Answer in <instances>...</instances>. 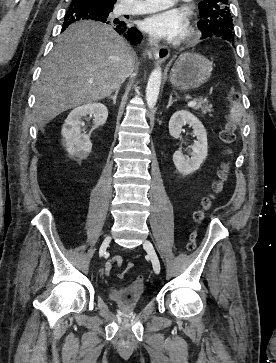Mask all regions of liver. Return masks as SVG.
<instances>
[{"mask_svg":"<svg viewBox=\"0 0 276 363\" xmlns=\"http://www.w3.org/2000/svg\"><path fill=\"white\" fill-rule=\"evenodd\" d=\"M133 62L130 45L112 27L90 20L70 25L42 66L35 91L38 125L110 96L131 75Z\"/></svg>","mask_w":276,"mask_h":363,"instance_id":"liver-1","label":"liver"}]
</instances>
